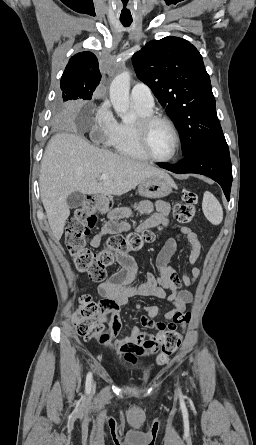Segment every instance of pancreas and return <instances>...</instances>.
<instances>
[{
    "label": "pancreas",
    "instance_id": "1",
    "mask_svg": "<svg viewBox=\"0 0 256 445\" xmlns=\"http://www.w3.org/2000/svg\"><path fill=\"white\" fill-rule=\"evenodd\" d=\"M136 210H139L141 214H150L153 212V204L150 201H141L138 205L133 206Z\"/></svg>",
    "mask_w": 256,
    "mask_h": 445
}]
</instances>
